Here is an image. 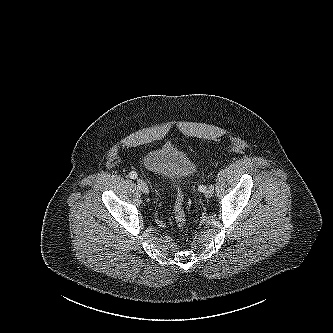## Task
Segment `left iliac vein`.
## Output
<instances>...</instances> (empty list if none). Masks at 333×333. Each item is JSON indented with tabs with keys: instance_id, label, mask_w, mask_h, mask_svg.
Here are the masks:
<instances>
[{
	"instance_id": "left-iliac-vein-1",
	"label": "left iliac vein",
	"mask_w": 333,
	"mask_h": 333,
	"mask_svg": "<svg viewBox=\"0 0 333 333\" xmlns=\"http://www.w3.org/2000/svg\"><path fill=\"white\" fill-rule=\"evenodd\" d=\"M214 193V189L212 187H208L205 191H204V195L206 198H210L212 197Z\"/></svg>"
}]
</instances>
